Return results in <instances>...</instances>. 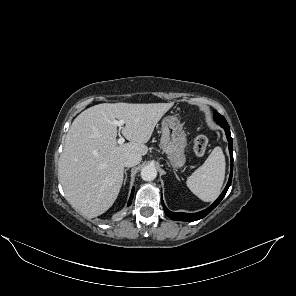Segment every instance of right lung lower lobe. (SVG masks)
I'll list each match as a JSON object with an SVG mask.
<instances>
[{"label": "right lung lower lobe", "instance_id": "right-lung-lower-lobe-1", "mask_svg": "<svg viewBox=\"0 0 296 296\" xmlns=\"http://www.w3.org/2000/svg\"><path fill=\"white\" fill-rule=\"evenodd\" d=\"M133 195H134V188L132 189L131 197H130V200H129V203H128V204L131 203V200H132V198H133Z\"/></svg>", "mask_w": 296, "mask_h": 296}]
</instances>
